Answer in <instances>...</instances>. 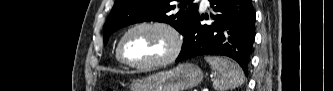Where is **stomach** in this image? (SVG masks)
I'll return each mask as SVG.
<instances>
[{
  "label": "stomach",
  "mask_w": 333,
  "mask_h": 91,
  "mask_svg": "<svg viewBox=\"0 0 333 91\" xmlns=\"http://www.w3.org/2000/svg\"><path fill=\"white\" fill-rule=\"evenodd\" d=\"M203 77L197 65L184 63L171 70L134 80L131 89L132 91H185L197 86Z\"/></svg>",
  "instance_id": "1"
}]
</instances>
